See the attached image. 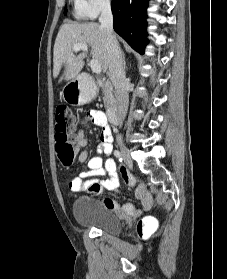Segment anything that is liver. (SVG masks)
Listing matches in <instances>:
<instances>
[{
    "label": "liver",
    "mask_w": 227,
    "mask_h": 279,
    "mask_svg": "<svg viewBox=\"0 0 227 279\" xmlns=\"http://www.w3.org/2000/svg\"><path fill=\"white\" fill-rule=\"evenodd\" d=\"M76 44L87 45L92 58L99 61L102 69H108L107 35L98 23H64L58 32L53 51V77L57 78L64 67L63 78L74 79L84 66L86 52L74 54Z\"/></svg>",
    "instance_id": "6515ba94"
}]
</instances>
